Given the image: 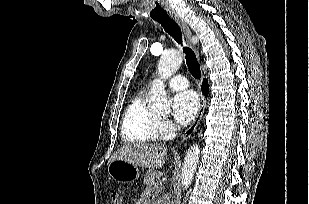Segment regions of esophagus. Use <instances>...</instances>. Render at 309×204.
I'll list each match as a JSON object with an SVG mask.
<instances>
[{"instance_id":"34e87169","label":"esophagus","mask_w":309,"mask_h":204,"mask_svg":"<svg viewBox=\"0 0 309 204\" xmlns=\"http://www.w3.org/2000/svg\"><path fill=\"white\" fill-rule=\"evenodd\" d=\"M169 15L180 26V28L182 29V31L185 34V37H186L188 44L193 48L197 57H199V50H198V47H197L198 38L192 36L191 30L189 29L188 25L177 13L172 12ZM204 79H205V76H204V74H202L201 83L204 81ZM205 106H206V99H205V96L203 95V93L201 92L200 93V108H199V111H198L193 123L182 134L181 139H180V143L185 142L196 131V129H197V127H198V125H199V123L202 119V116H203V113H204V110H205Z\"/></svg>"}]
</instances>
